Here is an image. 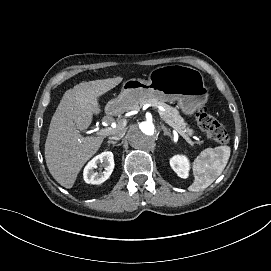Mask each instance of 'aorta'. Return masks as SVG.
I'll use <instances>...</instances> for the list:
<instances>
[{"label": "aorta", "instance_id": "obj_1", "mask_svg": "<svg viewBox=\"0 0 271 271\" xmlns=\"http://www.w3.org/2000/svg\"><path fill=\"white\" fill-rule=\"evenodd\" d=\"M127 138L132 148L148 152L155 147L157 126L151 119L135 122L129 128Z\"/></svg>", "mask_w": 271, "mask_h": 271}]
</instances>
